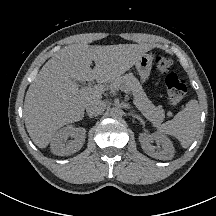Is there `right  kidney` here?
Returning <instances> with one entry per match:
<instances>
[{"label": "right kidney", "instance_id": "obj_1", "mask_svg": "<svg viewBox=\"0 0 216 216\" xmlns=\"http://www.w3.org/2000/svg\"><path fill=\"white\" fill-rule=\"evenodd\" d=\"M74 138L68 140V138ZM86 138L84 128H75L72 125L66 126L55 133L51 140V152L58 156H68L81 149Z\"/></svg>", "mask_w": 216, "mask_h": 216}]
</instances>
